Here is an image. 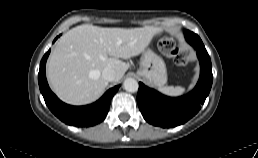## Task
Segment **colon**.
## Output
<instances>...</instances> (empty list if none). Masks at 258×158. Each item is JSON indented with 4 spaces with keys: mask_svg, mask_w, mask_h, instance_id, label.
I'll use <instances>...</instances> for the list:
<instances>
[{
    "mask_svg": "<svg viewBox=\"0 0 258 158\" xmlns=\"http://www.w3.org/2000/svg\"><path fill=\"white\" fill-rule=\"evenodd\" d=\"M159 46L165 55L172 57L178 64H188L191 60L192 51L188 48H179L173 36L163 37Z\"/></svg>",
    "mask_w": 258,
    "mask_h": 158,
    "instance_id": "obj_1",
    "label": "colon"
}]
</instances>
